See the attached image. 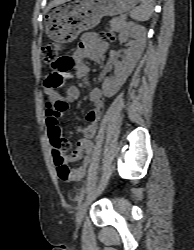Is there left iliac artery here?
Segmentation results:
<instances>
[{
  "label": "left iliac artery",
  "instance_id": "1",
  "mask_svg": "<svg viewBox=\"0 0 194 250\" xmlns=\"http://www.w3.org/2000/svg\"><path fill=\"white\" fill-rule=\"evenodd\" d=\"M85 194V189H82L79 196L77 197V202H78V206L80 205L82 199H83V196Z\"/></svg>",
  "mask_w": 194,
  "mask_h": 250
}]
</instances>
